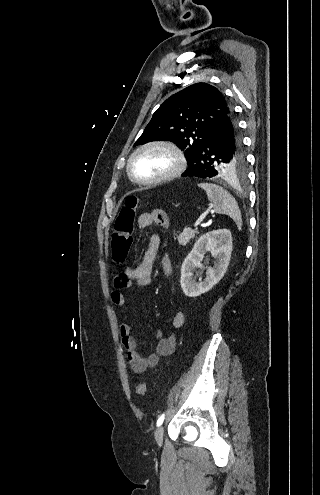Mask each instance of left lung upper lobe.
Returning a JSON list of instances; mask_svg holds the SVG:
<instances>
[{
    "label": "left lung upper lobe",
    "instance_id": "left-lung-upper-lobe-1",
    "mask_svg": "<svg viewBox=\"0 0 320 495\" xmlns=\"http://www.w3.org/2000/svg\"><path fill=\"white\" fill-rule=\"evenodd\" d=\"M231 113L230 105L216 87L207 83L193 84L161 104L134 146L151 141H171L185 150L189 162L216 125ZM244 166L241 145L234 157L224 159L216 166L217 176H231L242 171Z\"/></svg>",
    "mask_w": 320,
    "mask_h": 495
}]
</instances>
